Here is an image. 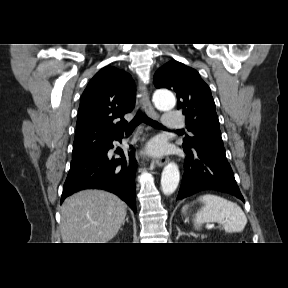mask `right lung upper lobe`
Wrapping results in <instances>:
<instances>
[{"label": "right lung upper lobe", "mask_w": 288, "mask_h": 288, "mask_svg": "<svg viewBox=\"0 0 288 288\" xmlns=\"http://www.w3.org/2000/svg\"><path fill=\"white\" fill-rule=\"evenodd\" d=\"M135 91L128 73L113 66L98 71L81 96L73 152L93 151L122 135L124 115L134 108ZM117 118L121 121L116 122Z\"/></svg>", "instance_id": "right-lung-upper-lobe-1"}]
</instances>
